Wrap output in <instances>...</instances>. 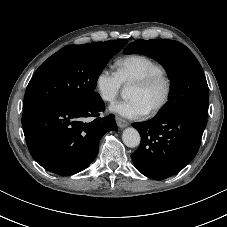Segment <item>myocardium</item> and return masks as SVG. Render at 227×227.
Wrapping results in <instances>:
<instances>
[{
	"instance_id": "1",
	"label": "myocardium",
	"mask_w": 227,
	"mask_h": 227,
	"mask_svg": "<svg viewBox=\"0 0 227 227\" xmlns=\"http://www.w3.org/2000/svg\"><path fill=\"white\" fill-rule=\"evenodd\" d=\"M159 82L164 84V95L161 101L154 108L148 111L147 114L151 116L159 114L169 103L173 90L171 78L165 72H161L138 79L132 83V85L141 88H149Z\"/></svg>"
}]
</instances>
